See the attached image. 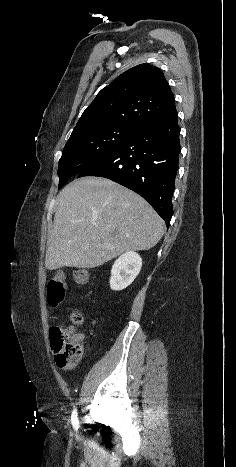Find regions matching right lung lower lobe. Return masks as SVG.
<instances>
[{"label":"right lung lower lobe","instance_id":"1","mask_svg":"<svg viewBox=\"0 0 236 467\" xmlns=\"http://www.w3.org/2000/svg\"><path fill=\"white\" fill-rule=\"evenodd\" d=\"M178 113L141 128L112 152L78 174L115 181L142 196L168 226L180 153Z\"/></svg>","mask_w":236,"mask_h":467}]
</instances>
